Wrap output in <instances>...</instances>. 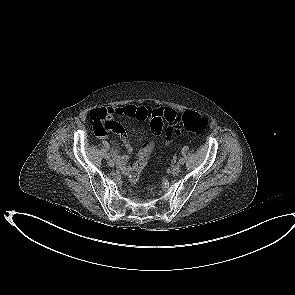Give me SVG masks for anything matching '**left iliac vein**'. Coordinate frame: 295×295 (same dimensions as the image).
Instances as JSON below:
<instances>
[{"instance_id": "1", "label": "left iliac vein", "mask_w": 295, "mask_h": 295, "mask_svg": "<svg viewBox=\"0 0 295 295\" xmlns=\"http://www.w3.org/2000/svg\"><path fill=\"white\" fill-rule=\"evenodd\" d=\"M181 166L180 164H176L172 167L171 171L173 174H178L180 172Z\"/></svg>"}]
</instances>
